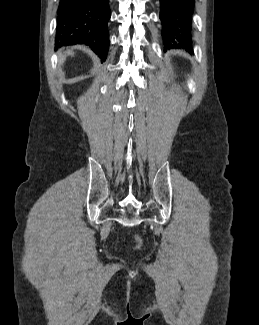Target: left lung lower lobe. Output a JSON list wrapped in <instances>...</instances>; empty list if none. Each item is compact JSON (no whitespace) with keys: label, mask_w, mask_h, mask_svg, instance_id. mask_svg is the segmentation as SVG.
<instances>
[{"label":"left lung lower lobe","mask_w":259,"mask_h":325,"mask_svg":"<svg viewBox=\"0 0 259 325\" xmlns=\"http://www.w3.org/2000/svg\"><path fill=\"white\" fill-rule=\"evenodd\" d=\"M194 0H160L162 37L166 48H191Z\"/></svg>","instance_id":"left-lung-lower-lobe-1"}]
</instances>
